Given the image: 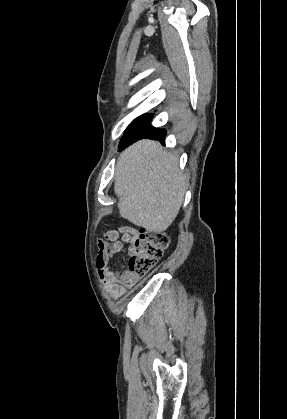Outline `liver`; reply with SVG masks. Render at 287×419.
Listing matches in <instances>:
<instances>
[{"label":"liver","instance_id":"6515ba94","mask_svg":"<svg viewBox=\"0 0 287 419\" xmlns=\"http://www.w3.org/2000/svg\"><path fill=\"white\" fill-rule=\"evenodd\" d=\"M178 159L152 140H140L119 155L114 192L121 217L149 233L163 232L172 224L187 189Z\"/></svg>","mask_w":287,"mask_h":419}]
</instances>
